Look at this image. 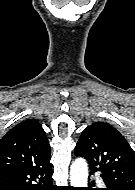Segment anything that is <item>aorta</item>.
Masks as SVG:
<instances>
[{"mask_svg":"<svg viewBox=\"0 0 135 190\" xmlns=\"http://www.w3.org/2000/svg\"><path fill=\"white\" fill-rule=\"evenodd\" d=\"M88 166L84 159H76L70 169V182L73 187H87Z\"/></svg>","mask_w":135,"mask_h":190,"instance_id":"762f6f07","label":"aorta"}]
</instances>
